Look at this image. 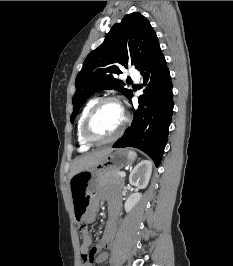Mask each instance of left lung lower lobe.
Wrapping results in <instances>:
<instances>
[{"label":"left lung lower lobe","mask_w":233,"mask_h":266,"mask_svg":"<svg viewBox=\"0 0 233 266\" xmlns=\"http://www.w3.org/2000/svg\"><path fill=\"white\" fill-rule=\"evenodd\" d=\"M145 95L139 97L131 127L113 145L135 147L148 154L159 166L168 138L173 114V92L170 73L162 50L157 45L139 68ZM133 94L129 97L131 99Z\"/></svg>","instance_id":"0a47b994"}]
</instances>
